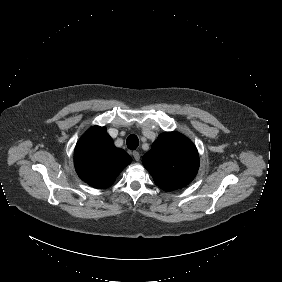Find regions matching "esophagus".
Instances as JSON below:
<instances>
[{"instance_id": "esophagus-1", "label": "esophagus", "mask_w": 282, "mask_h": 282, "mask_svg": "<svg viewBox=\"0 0 282 282\" xmlns=\"http://www.w3.org/2000/svg\"><path fill=\"white\" fill-rule=\"evenodd\" d=\"M133 157L136 161H139L140 160V154L138 151H134L133 152Z\"/></svg>"}]
</instances>
